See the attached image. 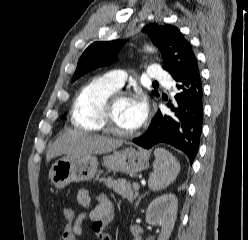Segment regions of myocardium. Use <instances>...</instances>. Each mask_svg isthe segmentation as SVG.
I'll return each mask as SVG.
<instances>
[{"instance_id":"1","label":"myocardium","mask_w":248,"mask_h":240,"mask_svg":"<svg viewBox=\"0 0 248 240\" xmlns=\"http://www.w3.org/2000/svg\"><path fill=\"white\" fill-rule=\"evenodd\" d=\"M122 97H129V94L124 91H115L104 103L101 114H100V125L102 126L103 130L114 135L128 137L136 134L138 132V128H135L130 131H122L115 127L112 116L111 110L114 102Z\"/></svg>"}]
</instances>
